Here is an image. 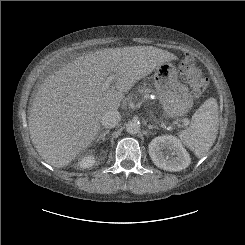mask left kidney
<instances>
[{"mask_svg": "<svg viewBox=\"0 0 245 245\" xmlns=\"http://www.w3.org/2000/svg\"><path fill=\"white\" fill-rule=\"evenodd\" d=\"M148 147L153 163L166 171H181L191 163V158L180 140L172 135L155 137Z\"/></svg>", "mask_w": 245, "mask_h": 245, "instance_id": "left-kidney-1", "label": "left kidney"}]
</instances>
